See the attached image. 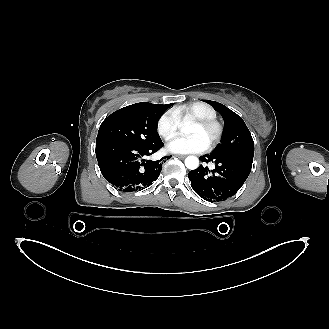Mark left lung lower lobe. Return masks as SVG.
Masks as SVG:
<instances>
[{
  "label": "left lung lower lobe",
  "mask_w": 329,
  "mask_h": 329,
  "mask_svg": "<svg viewBox=\"0 0 329 329\" xmlns=\"http://www.w3.org/2000/svg\"><path fill=\"white\" fill-rule=\"evenodd\" d=\"M202 162H215L210 174L207 167L200 165L188 173L191 187L203 199L225 201L235 195L250 174L252 162L247 159L208 154L200 157Z\"/></svg>",
  "instance_id": "obj_1"
}]
</instances>
